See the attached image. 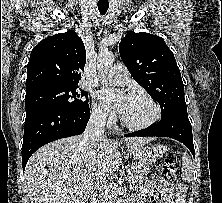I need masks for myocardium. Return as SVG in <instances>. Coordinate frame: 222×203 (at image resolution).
Returning <instances> with one entry per match:
<instances>
[{
    "instance_id": "1",
    "label": "myocardium",
    "mask_w": 222,
    "mask_h": 203,
    "mask_svg": "<svg viewBox=\"0 0 222 203\" xmlns=\"http://www.w3.org/2000/svg\"><path fill=\"white\" fill-rule=\"evenodd\" d=\"M129 96L141 97V98H144L145 100H147L154 108V115L150 120L143 122V123H131V122H128L127 120H125L121 116L120 121L123 126L129 128V129H133V130H142V129H146V128L153 126L161 119V116H162L161 107L148 93H146V92H132V93H130Z\"/></svg>"
}]
</instances>
